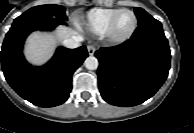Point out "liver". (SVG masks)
<instances>
[{
	"mask_svg": "<svg viewBox=\"0 0 194 133\" xmlns=\"http://www.w3.org/2000/svg\"><path fill=\"white\" fill-rule=\"evenodd\" d=\"M77 32L65 26H59L54 34L35 32L27 39L25 55L35 64L42 65L50 59L56 46V41L71 38Z\"/></svg>",
	"mask_w": 194,
	"mask_h": 133,
	"instance_id": "obj_1",
	"label": "liver"
}]
</instances>
